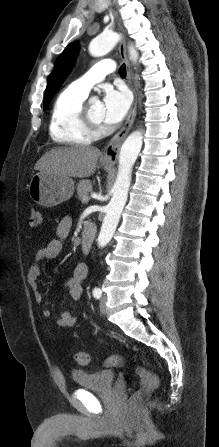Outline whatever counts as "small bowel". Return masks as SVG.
Listing matches in <instances>:
<instances>
[{
    "label": "small bowel",
    "instance_id": "c3829d8e",
    "mask_svg": "<svg viewBox=\"0 0 219 447\" xmlns=\"http://www.w3.org/2000/svg\"><path fill=\"white\" fill-rule=\"evenodd\" d=\"M72 228V219L68 216L62 218L56 229L57 238L51 239L48 244L38 249L34 254L35 263L32 265L27 274V283L33 292L36 302L43 301V295L39 288L40 266L39 263L44 260L55 259L62 251V239L66 238ZM88 274V267L84 263H78L72 272V275L65 281L64 286L68 290L72 300L78 301L82 296V283ZM51 315L49 309L42 310V316L48 318ZM77 316L69 311H63L55 319V324L59 327L74 326Z\"/></svg>",
    "mask_w": 219,
    "mask_h": 447
}]
</instances>
